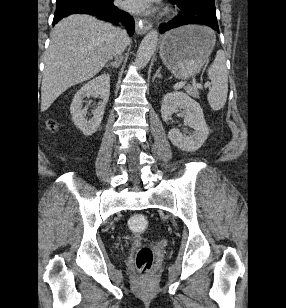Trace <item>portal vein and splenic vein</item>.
Returning <instances> with one entry per match:
<instances>
[{"mask_svg":"<svg viewBox=\"0 0 286 308\" xmlns=\"http://www.w3.org/2000/svg\"><path fill=\"white\" fill-rule=\"evenodd\" d=\"M186 81H180V82H178L177 84H176V86L175 87H179V88H182V87H184L185 85H186ZM209 85L208 84H205L204 85V88H207ZM197 87H201L200 85H197Z\"/></svg>","mask_w":286,"mask_h":308,"instance_id":"18ae733b","label":"portal vein and splenic vein"}]
</instances>
